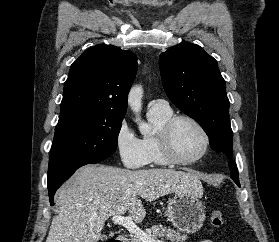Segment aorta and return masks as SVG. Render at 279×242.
Segmentation results:
<instances>
[{"label": "aorta", "instance_id": "762f6f07", "mask_svg": "<svg viewBox=\"0 0 279 242\" xmlns=\"http://www.w3.org/2000/svg\"><path fill=\"white\" fill-rule=\"evenodd\" d=\"M142 94L143 90L141 86H134L130 90L129 96H128V104L132 111L136 114V123L138 124L139 131L142 135H147L151 131V126L142 121L140 118V111H141V101H142Z\"/></svg>", "mask_w": 279, "mask_h": 242}]
</instances>
